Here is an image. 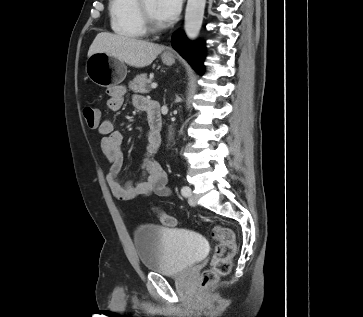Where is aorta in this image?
Segmentation results:
<instances>
[{
	"instance_id": "1",
	"label": "aorta",
	"mask_w": 363,
	"mask_h": 317,
	"mask_svg": "<svg viewBox=\"0 0 363 317\" xmlns=\"http://www.w3.org/2000/svg\"><path fill=\"white\" fill-rule=\"evenodd\" d=\"M206 0H188L185 12L184 29L190 40H195L200 32Z\"/></svg>"
}]
</instances>
